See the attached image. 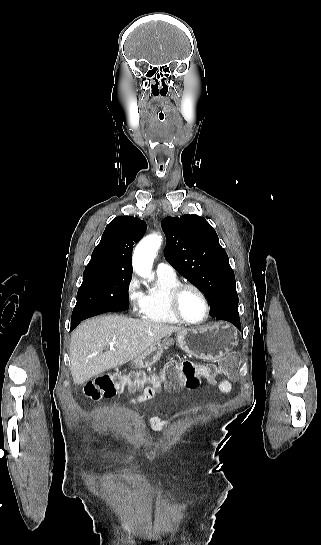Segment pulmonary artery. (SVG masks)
Returning a JSON list of instances; mask_svg holds the SVG:
<instances>
[{"label": "pulmonary artery", "instance_id": "pulmonary-artery-1", "mask_svg": "<svg viewBox=\"0 0 321 545\" xmlns=\"http://www.w3.org/2000/svg\"><path fill=\"white\" fill-rule=\"evenodd\" d=\"M156 271L158 274L168 276V277H177L175 268L166 261H161L157 264Z\"/></svg>", "mask_w": 321, "mask_h": 545}]
</instances>
